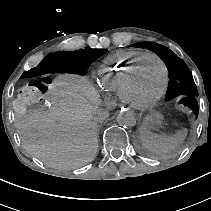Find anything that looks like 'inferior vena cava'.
<instances>
[{"instance_id": "obj_1", "label": "inferior vena cava", "mask_w": 211, "mask_h": 211, "mask_svg": "<svg viewBox=\"0 0 211 211\" xmlns=\"http://www.w3.org/2000/svg\"><path fill=\"white\" fill-rule=\"evenodd\" d=\"M98 117L99 119H102L104 118V114L101 111H98Z\"/></svg>"}]
</instances>
